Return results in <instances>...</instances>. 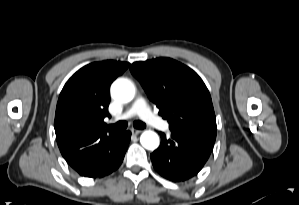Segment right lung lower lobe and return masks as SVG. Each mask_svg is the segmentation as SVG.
<instances>
[{
  "label": "right lung lower lobe",
  "mask_w": 299,
  "mask_h": 205,
  "mask_svg": "<svg viewBox=\"0 0 299 205\" xmlns=\"http://www.w3.org/2000/svg\"><path fill=\"white\" fill-rule=\"evenodd\" d=\"M131 133H121L116 142L92 157L78 173L90 178H102L115 171L122 163Z\"/></svg>",
  "instance_id": "right-lung-lower-lobe-1"
}]
</instances>
